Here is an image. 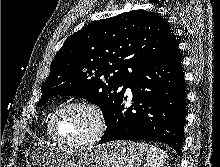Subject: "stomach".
<instances>
[{"mask_svg": "<svg viewBox=\"0 0 220 167\" xmlns=\"http://www.w3.org/2000/svg\"><path fill=\"white\" fill-rule=\"evenodd\" d=\"M26 161L27 167H140L142 150L129 141L77 149L32 143Z\"/></svg>", "mask_w": 220, "mask_h": 167, "instance_id": "0dacf381", "label": "stomach"}]
</instances>
